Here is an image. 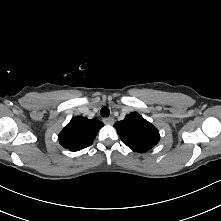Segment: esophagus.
Listing matches in <instances>:
<instances>
[{
  "mask_svg": "<svg viewBox=\"0 0 221 221\" xmlns=\"http://www.w3.org/2000/svg\"><path fill=\"white\" fill-rule=\"evenodd\" d=\"M103 122L105 124L112 125L114 123V118L113 117L104 118Z\"/></svg>",
  "mask_w": 221,
  "mask_h": 221,
  "instance_id": "1",
  "label": "esophagus"
}]
</instances>
